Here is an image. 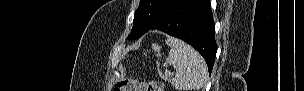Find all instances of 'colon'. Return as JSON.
<instances>
[{"label": "colon", "instance_id": "5ec220e1", "mask_svg": "<svg viewBox=\"0 0 304 91\" xmlns=\"http://www.w3.org/2000/svg\"><path fill=\"white\" fill-rule=\"evenodd\" d=\"M116 91H163V85L159 81H141L127 78L118 82Z\"/></svg>", "mask_w": 304, "mask_h": 91}]
</instances>
